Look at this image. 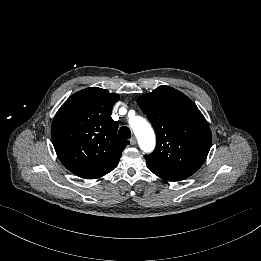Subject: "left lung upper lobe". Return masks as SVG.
Here are the masks:
<instances>
[{"mask_svg":"<svg viewBox=\"0 0 261 261\" xmlns=\"http://www.w3.org/2000/svg\"><path fill=\"white\" fill-rule=\"evenodd\" d=\"M137 103L157 136L156 148L145 155L146 161L194 174L204 163L212 142L210 128L195 103L169 86L141 95Z\"/></svg>","mask_w":261,"mask_h":261,"instance_id":"obj_1","label":"left lung upper lobe"}]
</instances>
